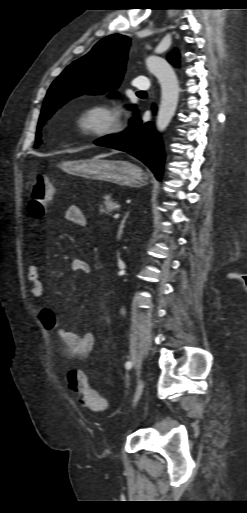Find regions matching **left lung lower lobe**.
<instances>
[{
	"mask_svg": "<svg viewBox=\"0 0 247 513\" xmlns=\"http://www.w3.org/2000/svg\"><path fill=\"white\" fill-rule=\"evenodd\" d=\"M155 109L153 107L154 111ZM141 123L140 118L135 116L126 131L100 138L95 141V144L127 152L145 163L160 180L164 163L162 143L159 135L149 127V123L145 125Z\"/></svg>",
	"mask_w": 247,
	"mask_h": 513,
	"instance_id": "0a47b994",
	"label": "left lung lower lobe"
}]
</instances>
